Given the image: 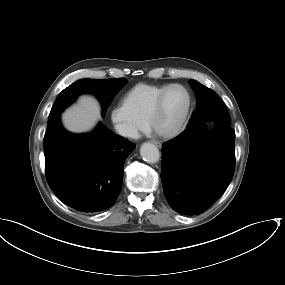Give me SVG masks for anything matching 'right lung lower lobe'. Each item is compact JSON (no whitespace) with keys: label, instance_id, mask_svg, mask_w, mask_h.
I'll use <instances>...</instances> for the list:
<instances>
[{"label":"right lung lower lobe","instance_id":"98d812e1","mask_svg":"<svg viewBox=\"0 0 285 285\" xmlns=\"http://www.w3.org/2000/svg\"><path fill=\"white\" fill-rule=\"evenodd\" d=\"M134 149L101 124L91 134H72L59 120L44 137L47 182L76 211L106 210L121 191L124 163Z\"/></svg>","mask_w":285,"mask_h":285}]
</instances>
